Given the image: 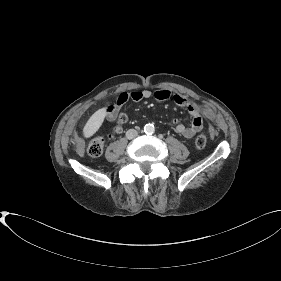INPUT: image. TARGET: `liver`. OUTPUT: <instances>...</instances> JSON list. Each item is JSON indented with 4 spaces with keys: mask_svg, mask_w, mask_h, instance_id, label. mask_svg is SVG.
Masks as SVG:
<instances>
[{
    "mask_svg": "<svg viewBox=\"0 0 281 281\" xmlns=\"http://www.w3.org/2000/svg\"><path fill=\"white\" fill-rule=\"evenodd\" d=\"M107 114L106 107L98 109L87 121L83 128V136L89 138L93 136L101 127Z\"/></svg>",
    "mask_w": 281,
    "mask_h": 281,
    "instance_id": "1",
    "label": "liver"
}]
</instances>
